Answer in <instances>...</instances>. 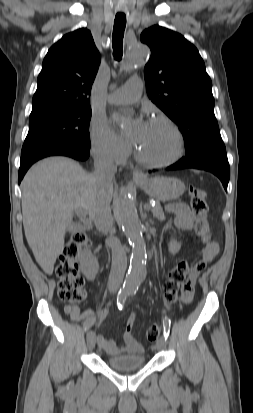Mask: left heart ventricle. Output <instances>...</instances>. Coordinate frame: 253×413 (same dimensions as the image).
Listing matches in <instances>:
<instances>
[{
	"mask_svg": "<svg viewBox=\"0 0 253 413\" xmlns=\"http://www.w3.org/2000/svg\"><path fill=\"white\" fill-rule=\"evenodd\" d=\"M137 148L150 159L165 160L174 154L176 139L165 123L149 122L137 142Z\"/></svg>",
	"mask_w": 253,
	"mask_h": 413,
	"instance_id": "1",
	"label": "left heart ventricle"
}]
</instances>
